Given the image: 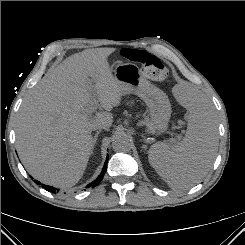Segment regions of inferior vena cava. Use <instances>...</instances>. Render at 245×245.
<instances>
[{
    "label": "inferior vena cava",
    "instance_id": "602c4592",
    "mask_svg": "<svg viewBox=\"0 0 245 245\" xmlns=\"http://www.w3.org/2000/svg\"><path fill=\"white\" fill-rule=\"evenodd\" d=\"M93 129L94 130H96V129H105V130H108V128L105 125H103V124H95L93 126Z\"/></svg>",
    "mask_w": 245,
    "mask_h": 245
}]
</instances>
